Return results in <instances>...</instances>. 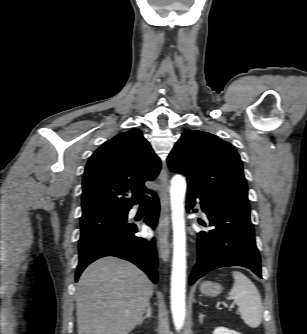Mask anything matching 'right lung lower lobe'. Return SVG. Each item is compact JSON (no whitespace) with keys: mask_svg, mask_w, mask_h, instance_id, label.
<instances>
[{"mask_svg":"<svg viewBox=\"0 0 307 334\" xmlns=\"http://www.w3.org/2000/svg\"><path fill=\"white\" fill-rule=\"evenodd\" d=\"M152 194L154 198L145 222L154 227L157 224L159 215V201L156 194L154 192ZM136 232L137 227L132 225L120 232L106 235L79 250L76 281L82 271L93 261L105 256H115L134 263L156 283L158 280L156 271L158 260L154 241L149 242L137 237L134 235Z\"/></svg>","mask_w":307,"mask_h":334,"instance_id":"obj_1","label":"right lung lower lobe"}]
</instances>
